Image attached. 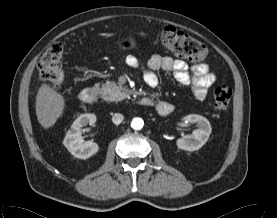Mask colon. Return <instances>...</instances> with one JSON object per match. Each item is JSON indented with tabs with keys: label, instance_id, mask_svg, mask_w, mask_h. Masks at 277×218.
<instances>
[{
	"label": "colon",
	"instance_id": "1",
	"mask_svg": "<svg viewBox=\"0 0 277 218\" xmlns=\"http://www.w3.org/2000/svg\"><path fill=\"white\" fill-rule=\"evenodd\" d=\"M161 45L169 52L189 61H202L207 56L203 43L188 34L174 28H163L158 33ZM64 46L61 42L51 44L38 62L40 78L54 87L60 86L65 78L62 67ZM214 106L219 111L226 110L231 102L233 91L227 85H220L214 90Z\"/></svg>",
	"mask_w": 277,
	"mask_h": 218
}]
</instances>
